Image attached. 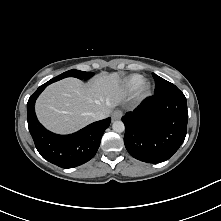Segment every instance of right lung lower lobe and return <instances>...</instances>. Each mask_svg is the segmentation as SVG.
<instances>
[{"label": "right lung lower lobe", "instance_id": "98d812e1", "mask_svg": "<svg viewBox=\"0 0 221 221\" xmlns=\"http://www.w3.org/2000/svg\"><path fill=\"white\" fill-rule=\"evenodd\" d=\"M48 85L46 82L40 86L27 103L28 128L35 146L43 158L61 168L82 165L96 154L111 119L94 122L70 135H57L48 131L38 122L34 110L37 97Z\"/></svg>", "mask_w": 221, "mask_h": 221}]
</instances>
